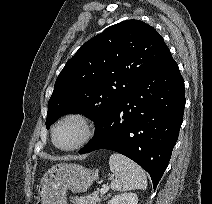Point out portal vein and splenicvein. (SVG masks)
<instances>
[{
  "mask_svg": "<svg viewBox=\"0 0 212 204\" xmlns=\"http://www.w3.org/2000/svg\"><path fill=\"white\" fill-rule=\"evenodd\" d=\"M109 190V187L107 185H103L100 189V194H105Z\"/></svg>",
  "mask_w": 212,
  "mask_h": 204,
  "instance_id": "18ae733b",
  "label": "portal vein and splenic vein"
}]
</instances>
